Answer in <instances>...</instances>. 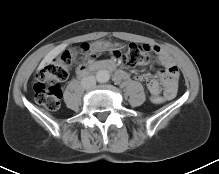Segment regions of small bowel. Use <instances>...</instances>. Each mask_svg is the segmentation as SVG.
I'll return each mask as SVG.
<instances>
[{
    "mask_svg": "<svg viewBox=\"0 0 219 174\" xmlns=\"http://www.w3.org/2000/svg\"><path fill=\"white\" fill-rule=\"evenodd\" d=\"M154 51L158 57V62L162 66V69L158 72V75L162 78L164 84H158L155 79H150L148 75L142 74L139 79L146 81V91L150 95L166 96L167 100L173 99L177 92L179 72L177 66L173 62L171 56L157 45L147 46ZM128 77L125 71L119 70L114 80L120 82Z\"/></svg>",
    "mask_w": 219,
    "mask_h": 174,
    "instance_id": "c3829d8e",
    "label": "small bowel"
}]
</instances>
